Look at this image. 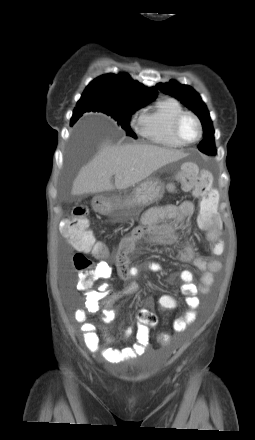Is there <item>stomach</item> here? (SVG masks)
Here are the masks:
<instances>
[{
  "label": "stomach",
  "instance_id": "stomach-1",
  "mask_svg": "<svg viewBox=\"0 0 255 440\" xmlns=\"http://www.w3.org/2000/svg\"><path fill=\"white\" fill-rule=\"evenodd\" d=\"M164 194V184L156 178L139 183L129 195L113 198L100 197L96 209L100 213L110 214L119 220L137 215L142 208L160 200Z\"/></svg>",
  "mask_w": 255,
  "mask_h": 440
}]
</instances>
